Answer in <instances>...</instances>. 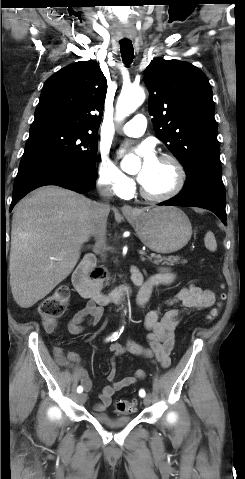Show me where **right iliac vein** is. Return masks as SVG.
I'll return each mask as SVG.
<instances>
[{"label":"right iliac vein","instance_id":"1","mask_svg":"<svg viewBox=\"0 0 245 479\" xmlns=\"http://www.w3.org/2000/svg\"><path fill=\"white\" fill-rule=\"evenodd\" d=\"M77 400H78V402H79L80 404L85 403V401H86V394H85V393L79 394V395L77 396Z\"/></svg>","mask_w":245,"mask_h":479}]
</instances>
